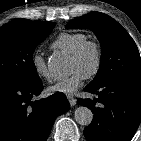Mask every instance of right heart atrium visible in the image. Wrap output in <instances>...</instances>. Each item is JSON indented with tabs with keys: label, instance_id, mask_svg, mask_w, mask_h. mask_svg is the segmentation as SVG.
Here are the masks:
<instances>
[{
	"label": "right heart atrium",
	"instance_id": "obj_1",
	"mask_svg": "<svg viewBox=\"0 0 141 141\" xmlns=\"http://www.w3.org/2000/svg\"><path fill=\"white\" fill-rule=\"evenodd\" d=\"M31 61H32V66L38 76L45 79L50 78V72L48 70L46 60L41 54L35 53L32 56Z\"/></svg>",
	"mask_w": 141,
	"mask_h": 141
}]
</instances>
